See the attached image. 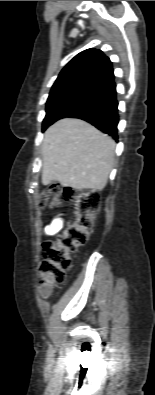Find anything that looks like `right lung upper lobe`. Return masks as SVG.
Returning a JSON list of instances; mask_svg holds the SVG:
<instances>
[{"mask_svg": "<svg viewBox=\"0 0 155 395\" xmlns=\"http://www.w3.org/2000/svg\"><path fill=\"white\" fill-rule=\"evenodd\" d=\"M114 80L112 62L101 50L90 48L76 55L60 72L54 86L86 83L105 88Z\"/></svg>", "mask_w": 155, "mask_h": 395, "instance_id": "obj_1", "label": "right lung upper lobe"}]
</instances>
